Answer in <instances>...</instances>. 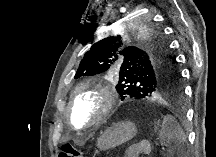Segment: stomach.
<instances>
[{
	"instance_id": "1",
	"label": "stomach",
	"mask_w": 216,
	"mask_h": 157,
	"mask_svg": "<svg viewBox=\"0 0 216 157\" xmlns=\"http://www.w3.org/2000/svg\"><path fill=\"white\" fill-rule=\"evenodd\" d=\"M137 133L134 123L129 121L118 122L107 128L97 140L100 150L113 149L128 140L132 139Z\"/></svg>"
}]
</instances>
